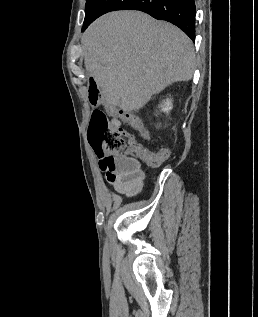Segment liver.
<instances>
[{
  "instance_id": "obj_1",
  "label": "liver",
  "mask_w": 258,
  "mask_h": 317,
  "mask_svg": "<svg viewBox=\"0 0 258 317\" xmlns=\"http://www.w3.org/2000/svg\"><path fill=\"white\" fill-rule=\"evenodd\" d=\"M85 66L107 104L142 108L171 82L190 80L193 42L180 28L140 10H116L94 20L82 38Z\"/></svg>"
}]
</instances>
